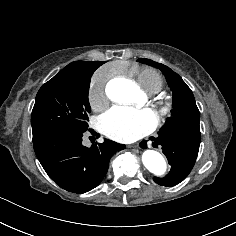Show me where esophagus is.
Segmentation results:
<instances>
[{
	"instance_id": "esophagus-1",
	"label": "esophagus",
	"mask_w": 236,
	"mask_h": 236,
	"mask_svg": "<svg viewBox=\"0 0 236 236\" xmlns=\"http://www.w3.org/2000/svg\"><path fill=\"white\" fill-rule=\"evenodd\" d=\"M128 147L132 148V147H135V145H129Z\"/></svg>"
}]
</instances>
